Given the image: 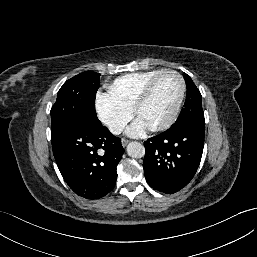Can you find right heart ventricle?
Instances as JSON below:
<instances>
[{
  "label": "right heart ventricle",
  "instance_id": "obj_1",
  "mask_svg": "<svg viewBox=\"0 0 257 257\" xmlns=\"http://www.w3.org/2000/svg\"><path fill=\"white\" fill-rule=\"evenodd\" d=\"M162 71V69H154L123 75L108 86L107 95L115 103L133 110V106L144 87Z\"/></svg>",
  "mask_w": 257,
  "mask_h": 257
}]
</instances>
